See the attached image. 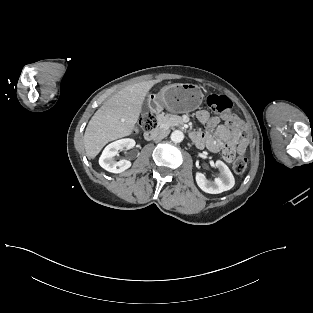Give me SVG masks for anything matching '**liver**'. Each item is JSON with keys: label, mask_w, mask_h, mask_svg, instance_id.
I'll return each mask as SVG.
<instances>
[{"label": "liver", "mask_w": 313, "mask_h": 313, "mask_svg": "<svg viewBox=\"0 0 313 313\" xmlns=\"http://www.w3.org/2000/svg\"><path fill=\"white\" fill-rule=\"evenodd\" d=\"M160 80L129 85L109 98L92 116L84 134L88 158H95L110 141L130 135L135 129L149 90Z\"/></svg>", "instance_id": "liver-1"}]
</instances>
